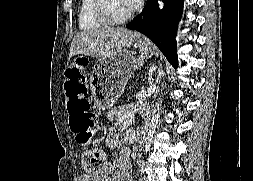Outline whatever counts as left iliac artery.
I'll return each instance as SVG.
<instances>
[{"label":"left iliac artery","instance_id":"obj_1","mask_svg":"<svg viewBox=\"0 0 253 181\" xmlns=\"http://www.w3.org/2000/svg\"><path fill=\"white\" fill-rule=\"evenodd\" d=\"M140 166H141V171L144 172V161H141Z\"/></svg>","mask_w":253,"mask_h":181}]
</instances>
